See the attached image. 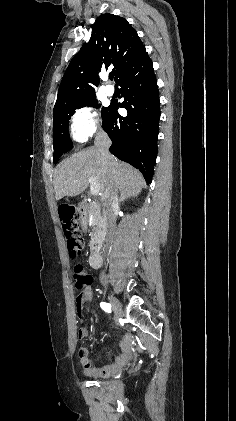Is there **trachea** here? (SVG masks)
Returning a JSON list of instances; mask_svg holds the SVG:
<instances>
[{
	"mask_svg": "<svg viewBox=\"0 0 236 421\" xmlns=\"http://www.w3.org/2000/svg\"><path fill=\"white\" fill-rule=\"evenodd\" d=\"M109 78H110V80H113L114 77H113V75H109Z\"/></svg>",
	"mask_w": 236,
	"mask_h": 421,
	"instance_id": "3493384b",
	"label": "trachea"
}]
</instances>
